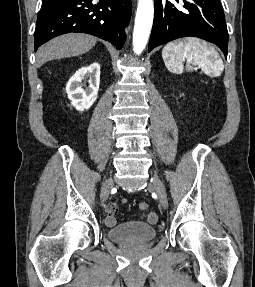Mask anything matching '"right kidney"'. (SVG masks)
<instances>
[{"instance_id":"obj_1","label":"right kidney","mask_w":255,"mask_h":287,"mask_svg":"<svg viewBox=\"0 0 255 287\" xmlns=\"http://www.w3.org/2000/svg\"><path fill=\"white\" fill-rule=\"evenodd\" d=\"M84 78H89V86L83 90L85 84H81ZM100 82V66L97 62H93L90 66H83L80 70L75 72L74 76L70 78L67 86L66 92L68 94L69 100H71L72 106L76 110H89L92 104H94Z\"/></svg>"}]
</instances>
